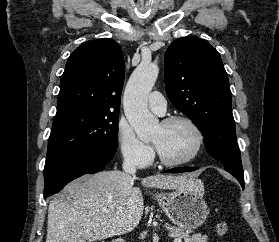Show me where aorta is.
<instances>
[{"label":"aorta","mask_w":279,"mask_h":242,"mask_svg":"<svg viewBox=\"0 0 279 242\" xmlns=\"http://www.w3.org/2000/svg\"><path fill=\"white\" fill-rule=\"evenodd\" d=\"M158 73L157 65L141 63L132 73L123 97L125 116L138 138L145 142L158 128V119L147 108V97Z\"/></svg>","instance_id":"aorta-1"}]
</instances>
